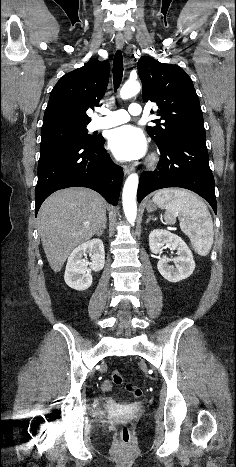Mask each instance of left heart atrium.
<instances>
[{
	"label": "left heart atrium",
	"mask_w": 236,
	"mask_h": 467,
	"mask_svg": "<svg viewBox=\"0 0 236 467\" xmlns=\"http://www.w3.org/2000/svg\"><path fill=\"white\" fill-rule=\"evenodd\" d=\"M109 148L120 160H134L146 152V142L140 130L131 125L113 129L109 134Z\"/></svg>",
	"instance_id": "39dd6f15"
}]
</instances>
